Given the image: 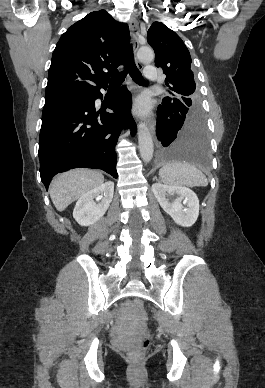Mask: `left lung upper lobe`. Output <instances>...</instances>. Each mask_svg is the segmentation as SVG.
<instances>
[{"mask_svg":"<svg viewBox=\"0 0 265 388\" xmlns=\"http://www.w3.org/2000/svg\"><path fill=\"white\" fill-rule=\"evenodd\" d=\"M147 41L155 51V63L166 75L165 84L172 97L188 108L201 110L200 96L191 70V56L182 39L161 22H154Z\"/></svg>","mask_w":265,"mask_h":388,"instance_id":"left-lung-upper-lobe-1","label":"left lung upper lobe"}]
</instances>
